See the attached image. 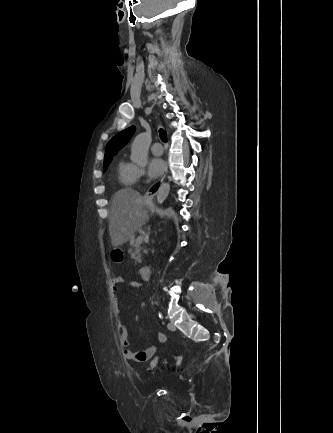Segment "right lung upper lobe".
<instances>
[{
    "label": "right lung upper lobe",
    "instance_id": "1",
    "mask_svg": "<svg viewBox=\"0 0 333 433\" xmlns=\"http://www.w3.org/2000/svg\"><path fill=\"white\" fill-rule=\"evenodd\" d=\"M135 129H136L135 126H131L121 131L119 134H117L109 141L106 147L104 165L106 164L109 165L113 159V156L116 155L117 152L129 142V140L135 133Z\"/></svg>",
    "mask_w": 333,
    "mask_h": 433
}]
</instances>
